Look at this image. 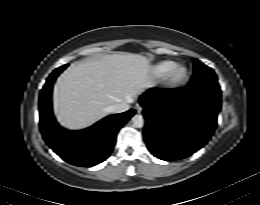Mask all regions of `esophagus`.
<instances>
[{
	"instance_id": "34e87169",
	"label": "esophagus",
	"mask_w": 260,
	"mask_h": 205,
	"mask_svg": "<svg viewBox=\"0 0 260 205\" xmlns=\"http://www.w3.org/2000/svg\"><path fill=\"white\" fill-rule=\"evenodd\" d=\"M136 110L138 113L142 112V107L139 104H136Z\"/></svg>"
}]
</instances>
